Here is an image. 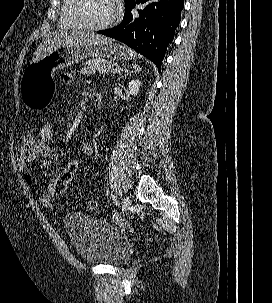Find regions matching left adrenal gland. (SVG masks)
Wrapping results in <instances>:
<instances>
[{
    "mask_svg": "<svg viewBox=\"0 0 272 303\" xmlns=\"http://www.w3.org/2000/svg\"><path fill=\"white\" fill-rule=\"evenodd\" d=\"M141 71V68H136V67H133V70L132 71H128V70H125V74L124 76H119L118 80H120L122 77H126L128 76L129 74L131 73H136V72H140Z\"/></svg>",
    "mask_w": 272,
    "mask_h": 303,
    "instance_id": "a2214340",
    "label": "left adrenal gland"
}]
</instances>
